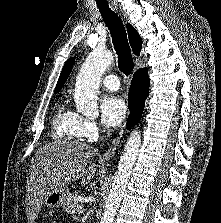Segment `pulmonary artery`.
Segmentation results:
<instances>
[{
    "instance_id": "e3ab8cb5",
    "label": "pulmonary artery",
    "mask_w": 221,
    "mask_h": 223,
    "mask_svg": "<svg viewBox=\"0 0 221 223\" xmlns=\"http://www.w3.org/2000/svg\"><path fill=\"white\" fill-rule=\"evenodd\" d=\"M102 84L109 90L116 91L120 87L119 79L116 75H106L102 79Z\"/></svg>"
}]
</instances>
